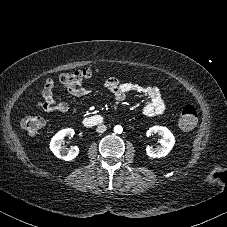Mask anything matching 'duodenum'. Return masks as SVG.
Listing matches in <instances>:
<instances>
[{
    "label": "duodenum",
    "instance_id": "obj_1",
    "mask_svg": "<svg viewBox=\"0 0 227 227\" xmlns=\"http://www.w3.org/2000/svg\"><path fill=\"white\" fill-rule=\"evenodd\" d=\"M105 121V118L101 115H92L83 119V124L86 127H93L99 124H102Z\"/></svg>",
    "mask_w": 227,
    "mask_h": 227
}]
</instances>
